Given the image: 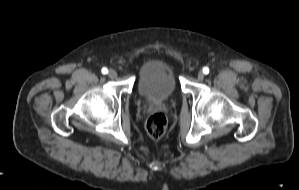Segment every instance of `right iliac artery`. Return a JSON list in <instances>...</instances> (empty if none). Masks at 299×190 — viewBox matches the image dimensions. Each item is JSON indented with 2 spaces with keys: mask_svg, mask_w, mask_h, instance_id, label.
<instances>
[{
  "mask_svg": "<svg viewBox=\"0 0 299 190\" xmlns=\"http://www.w3.org/2000/svg\"><path fill=\"white\" fill-rule=\"evenodd\" d=\"M101 72H102L103 74H107V73H108V69L104 67V68H102Z\"/></svg>",
  "mask_w": 299,
  "mask_h": 190,
  "instance_id": "obj_1",
  "label": "right iliac artery"
}]
</instances>
